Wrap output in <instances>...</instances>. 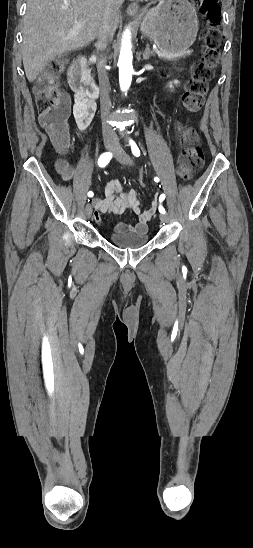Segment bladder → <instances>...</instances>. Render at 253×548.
<instances>
[{"label": "bladder", "instance_id": "obj_1", "mask_svg": "<svg viewBox=\"0 0 253 548\" xmlns=\"http://www.w3.org/2000/svg\"><path fill=\"white\" fill-rule=\"evenodd\" d=\"M109 240L114 246L120 248H139L148 243L149 237L146 232H115L109 236Z\"/></svg>", "mask_w": 253, "mask_h": 548}]
</instances>
